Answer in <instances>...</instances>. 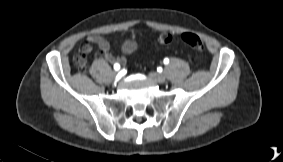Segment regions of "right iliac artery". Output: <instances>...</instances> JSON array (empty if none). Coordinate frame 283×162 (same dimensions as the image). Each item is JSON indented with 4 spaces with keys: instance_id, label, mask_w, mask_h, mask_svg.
Returning <instances> with one entry per match:
<instances>
[{
    "instance_id": "82829eb1",
    "label": "right iliac artery",
    "mask_w": 283,
    "mask_h": 162,
    "mask_svg": "<svg viewBox=\"0 0 283 162\" xmlns=\"http://www.w3.org/2000/svg\"><path fill=\"white\" fill-rule=\"evenodd\" d=\"M114 69L117 71L120 69V65L118 63L114 64Z\"/></svg>"
}]
</instances>
